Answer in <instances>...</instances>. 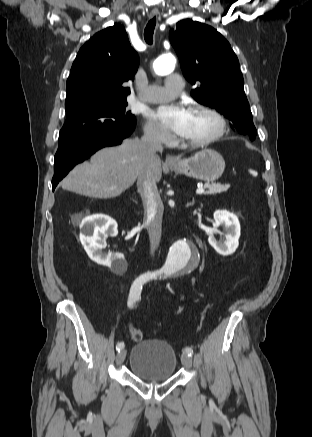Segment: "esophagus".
Segmentation results:
<instances>
[{"label": "esophagus", "instance_id": "34e87169", "mask_svg": "<svg viewBox=\"0 0 312 437\" xmlns=\"http://www.w3.org/2000/svg\"><path fill=\"white\" fill-rule=\"evenodd\" d=\"M156 15H157V12H156V11H153V12L150 13L149 18L152 19V18H154ZM177 162H178V159L175 158L174 156H172V155H168V156H166V163H167V164H175V163H177Z\"/></svg>", "mask_w": 312, "mask_h": 437}]
</instances>
